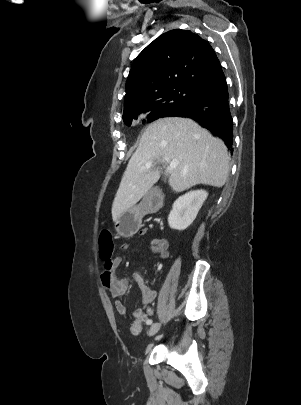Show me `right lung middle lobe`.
<instances>
[{
    "instance_id": "1",
    "label": "right lung middle lobe",
    "mask_w": 301,
    "mask_h": 405,
    "mask_svg": "<svg viewBox=\"0 0 301 405\" xmlns=\"http://www.w3.org/2000/svg\"><path fill=\"white\" fill-rule=\"evenodd\" d=\"M202 94L203 92L188 88H177L154 94L143 99L137 108L124 112L123 121L130 126L132 120L137 119L139 113L151 111L148 117V122H151L160 117L168 116L176 109L191 104Z\"/></svg>"
}]
</instances>
